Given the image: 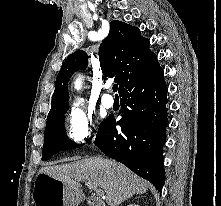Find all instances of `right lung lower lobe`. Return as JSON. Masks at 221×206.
Wrapping results in <instances>:
<instances>
[{
    "label": "right lung lower lobe",
    "instance_id": "obj_1",
    "mask_svg": "<svg viewBox=\"0 0 221 206\" xmlns=\"http://www.w3.org/2000/svg\"><path fill=\"white\" fill-rule=\"evenodd\" d=\"M122 116L110 115L100 125L95 145L151 182L161 193L165 183L163 144L167 119V86L157 62L120 92ZM121 126V130L116 129Z\"/></svg>",
    "mask_w": 221,
    "mask_h": 206
}]
</instances>
